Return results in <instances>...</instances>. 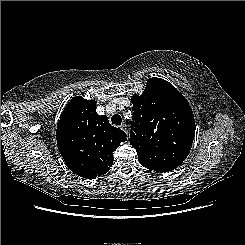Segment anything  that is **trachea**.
Masks as SVG:
<instances>
[{
	"instance_id": "obj_1",
	"label": "trachea",
	"mask_w": 245,
	"mask_h": 245,
	"mask_svg": "<svg viewBox=\"0 0 245 245\" xmlns=\"http://www.w3.org/2000/svg\"><path fill=\"white\" fill-rule=\"evenodd\" d=\"M111 121L114 125L116 126H120L121 125V122H122V118L120 115H113L112 118H111Z\"/></svg>"
}]
</instances>
